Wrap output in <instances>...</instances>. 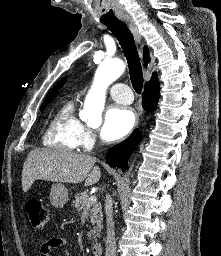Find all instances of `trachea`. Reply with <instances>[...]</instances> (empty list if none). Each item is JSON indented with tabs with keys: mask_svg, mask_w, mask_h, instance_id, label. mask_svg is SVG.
Masks as SVG:
<instances>
[{
	"mask_svg": "<svg viewBox=\"0 0 221 256\" xmlns=\"http://www.w3.org/2000/svg\"><path fill=\"white\" fill-rule=\"evenodd\" d=\"M114 33L127 59L130 80L134 90L140 94L143 87V72L134 37L128 27L119 20L105 23Z\"/></svg>",
	"mask_w": 221,
	"mask_h": 256,
	"instance_id": "1",
	"label": "trachea"
}]
</instances>
